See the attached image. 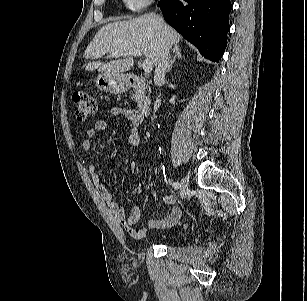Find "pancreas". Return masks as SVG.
Returning a JSON list of instances; mask_svg holds the SVG:
<instances>
[{
    "mask_svg": "<svg viewBox=\"0 0 307 301\" xmlns=\"http://www.w3.org/2000/svg\"><path fill=\"white\" fill-rule=\"evenodd\" d=\"M134 98H135V99H137V95H136V92H135V94H134Z\"/></svg>",
    "mask_w": 307,
    "mask_h": 301,
    "instance_id": "1",
    "label": "pancreas"
}]
</instances>
